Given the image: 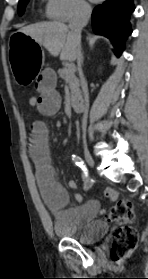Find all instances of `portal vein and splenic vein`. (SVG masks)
<instances>
[{
	"label": "portal vein and splenic vein",
	"mask_w": 148,
	"mask_h": 279,
	"mask_svg": "<svg viewBox=\"0 0 148 279\" xmlns=\"http://www.w3.org/2000/svg\"><path fill=\"white\" fill-rule=\"evenodd\" d=\"M69 72H74L75 71V66L73 64H71L69 67Z\"/></svg>",
	"instance_id": "portal-vein-and-splenic-vein-1"
}]
</instances>
